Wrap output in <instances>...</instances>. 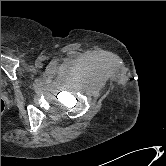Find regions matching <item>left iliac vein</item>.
Here are the masks:
<instances>
[{
  "instance_id": "4c4485c4",
  "label": "left iliac vein",
  "mask_w": 166,
  "mask_h": 166,
  "mask_svg": "<svg viewBox=\"0 0 166 166\" xmlns=\"http://www.w3.org/2000/svg\"><path fill=\"white\" fill-rule=\"evenodd\" d=\"M35 65H36L37 67H40V66L42 65L41 60L38 59V60L36 61Z\"/></svg>"
}]
</instances>
